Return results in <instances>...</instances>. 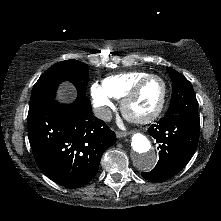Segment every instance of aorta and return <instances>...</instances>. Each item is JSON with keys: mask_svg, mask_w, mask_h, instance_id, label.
I'll return each mask as SVG.
<instances>
[{"mask_svg": "<svg viewBox=\"0 0 221 221\" xmlns=\"http://www.w3.org/2000/svg\"><path fill=\"white\" fill-rule=\"evenodd\" d=\"M131 148L133 163L139 170L149 171L154 168L157 154L145 135L134 133L131 137Z\"/></svg>", "mask_w": 221, "mask_h": 221, "instance_id": "obj_1", "label": "aorta"}]
</instances>
